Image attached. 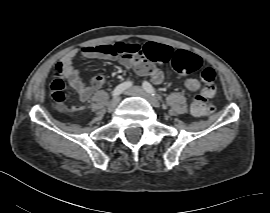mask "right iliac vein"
I'll list each match as a JSON object with an SVG mask.
<instances>
[{
    "mask_svg": "<svg viewBox=\"0 0 270 213\" xmlns=\"http://www.w3.org/2000/svg\"><path fill=\"white\" fill-rule=\"evenodd\" d=\"M119 101H120V97H114L111 101H110V103L108 104V106H107V110L109 111V112H112L115 108H116V106L118 105V103H119Z\"/></svg>",
    "mask_w": 270,
    "mask_h": 213,
    "instance_id": "obj_1",
    "label": "right iliac vein"
}]
</instances>
